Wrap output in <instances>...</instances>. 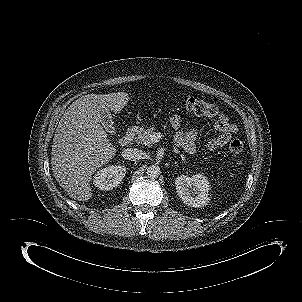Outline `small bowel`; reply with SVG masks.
Segmentation results:
<instances>
[{
  "instance_id": "small-bowel-1",
  "label": "small bowel",
  "mask_w": 302,
  "mask_h": 302,
  "mask_svg": "<svg viewBox=\"0 0 302 302\" xmlns=\"http://www.w3.org/2000/svg\"><path fill=\"white\" fill-rule=\"evenodd\" d=\"M171 126L177 130L175 135V141L178 145L184 147L187 151H194L195 140L197 137V130L193 129L189 132H183L180 130L182 119L179 115H173L170 117ZM215 130L218 135L214 138L208 139L204 142V146L207 148H219L226 145L232 136L236 133L237 129L235 125L228 122L224 117H220L214 124Z\"/></svg>"
}]
</instances>
